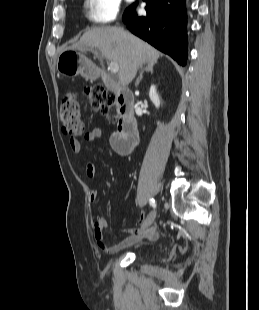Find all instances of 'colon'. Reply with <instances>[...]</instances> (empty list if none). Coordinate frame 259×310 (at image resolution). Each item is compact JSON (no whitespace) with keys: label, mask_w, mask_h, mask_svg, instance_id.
Here are the masks:
<instances>
[{"label":"colon","mask_w":259,"mask_h":310,"mask_svg":"<svg viewBox=\"0 0 259 310\" xmlns=\"http://www.w3.org/2000/svg\"><path fill=\"white\" fill-rule=\"evenodd\" d=\"M86 95L93 109L103 115H108L109 108L115 102L114 93L101 85L90 87ZM59 118L64 131L71 136H80L83 133V123L78 99L75 94H66L61 102Z\"/></svg>","instance_id":"colon-1"}]
</instances>
